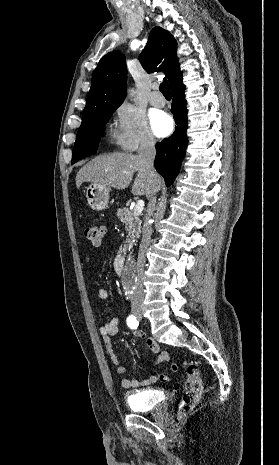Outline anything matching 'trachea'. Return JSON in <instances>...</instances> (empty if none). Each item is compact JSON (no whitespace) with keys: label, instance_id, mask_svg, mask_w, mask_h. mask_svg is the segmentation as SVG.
I'll list each match as a JSON object with an SVG mask.
<instances>
[{"label":"trachea","instance_id":"3493384b","mask_svg":"<svg viewBox=\"0 0 279 465\" xmlns=\"http://www.w3.org/2000/svg\"><path fill=\"white\" fill-rule=\"evenodd\" d=\"M160 91L162 92V94L164 96H171V91L169 89V84H168V81L167 80H164L161 84H160Z\"/></svg>","mask_w":279,"mask_h":465}]
</instances>
